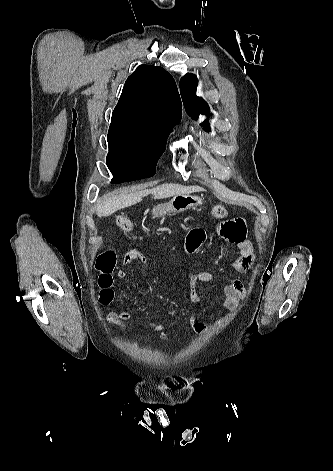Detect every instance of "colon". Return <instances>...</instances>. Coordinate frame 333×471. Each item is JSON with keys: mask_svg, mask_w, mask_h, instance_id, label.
Listing matches in <instances>:
<instances>
[{"mask_svg": "<svg viewBox=\"0 0 333 471\" xmlns=\"http://www.w3.org/2000/svg\"><path fill=\"white\" fill-rule=\"evenodd\" d=\"M211 213L216 218H225L228 214L227 209L221 205L213 206ZM116 224L125 232L132 230V222L125 216H117ZM116 260L117 255L114 250H105L96 259L95 267L99 273L98 283L101 288L100 298L103 304H108L113 297L112 272L116 266Z\"/></svg>", "mask_w": 333, "mask_h": 471, "instance_id": "colon-1", "label": "colon"}]
</instances>
